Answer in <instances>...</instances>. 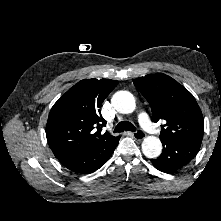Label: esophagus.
<instances>
[{"mask_svg": "<svg viewBox=\"0 0 221 221\" xmlns=\"http://www.w3.org/2000/svg\"><path fill=\"white\" fill-rule=\"evenodd\" d=\"M135 140L141 141L145 138V133L144 132H131L129 133Z\"/></svg>", "mask_w": 221, "mask_h": 221, "instance_id": "34e87169", "label": "esophagus"}]
</instances>
